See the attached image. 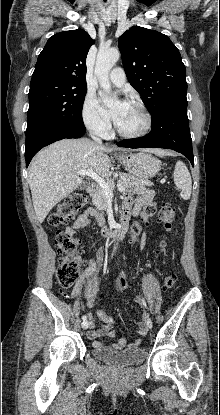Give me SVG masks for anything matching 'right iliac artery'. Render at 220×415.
<instances>
[{
	"label": "right iliac artery",
	"mask_w": 220,
	"mask_h": 415,
	"mask_svg": "<svg viewBox=\"0 0 220 415\" xmlns=\"http://www.w3.org/2000/svg\"><path fill=\"white\" fill-rule=\"evenodd\" d=\"M82 319H83V321L87 320V316L86 315H83L82 316Z\"/></svg>",
	"instance_id": "right-iliac-artery-1"
}]
</instances>
